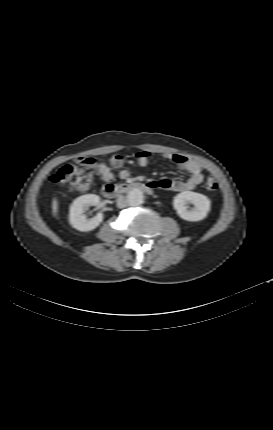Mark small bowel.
<instances>
[{"label":"small bowel","instance_id":"c3829d8e","mask_svg":"<svg viewBox=\"0 0 273 430\" xmlns=\"http://www.w3.org/2000/svg\"><path fill=\"white\" fill-rule=\"evenodd\" d=\"M162 156L166 159L174 162L178 167L185 173L189 174L186 180H168L162 179L153 181L151 184L154 188H161L166 191H188L193 190L203 181V167L198 162L190 160L180 154L164 152ZM151 154L148 151H141L137 153V163L145 167L149 164ZM88 165L94 170V172L105 182H112L115 178V174L112 169H119V177L127 179L130 176V172L127 169H122L124 165V158L121 155L115 154L109 157L107 161L99 162L93 158H86Z\"/></svg>","mask_w":273,"mask_h":430}]
</instances>
